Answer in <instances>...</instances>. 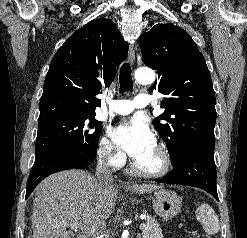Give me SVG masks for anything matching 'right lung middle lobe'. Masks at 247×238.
<instances>
[{"label": "right lung middle lobe", "instance_id": "1", "mask_svg": "<svg viewBox=\"0 0 247 238\" xmlns=\"http://www.w3.org/2000/svg\"><path fill=\"white\" fill-rule=\"evenodd\" d=\"M101 131L102 123L95 119V115L62 117L38 123L35 163L59 153L95 155Z\"/></svg>", "mask_w": 247, "mask_h": 238}]
</instances>
